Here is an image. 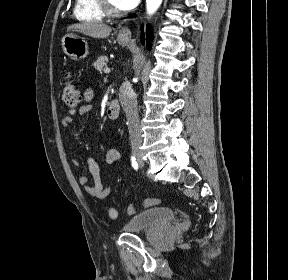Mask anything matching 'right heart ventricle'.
I'll return each instance as SVG.
<instances>
[{"instance_id": "right-heart-ventricle-1", "label": "right heart ventricle", "mask_w": 288, "mask_h": 280, "mask_svg": "<svg viewBox=\"0 0 288 280\" xmlns=\"http://www.w3.org/2000/svg\"><path fill=\"white\" fill-rule=\"evenodd\" d=\"M75 17L83 22H101L105 15L98 0H76L74 6Z\"/></svg>"}]
</instances>
